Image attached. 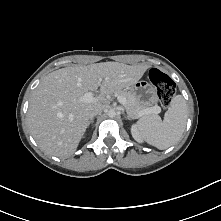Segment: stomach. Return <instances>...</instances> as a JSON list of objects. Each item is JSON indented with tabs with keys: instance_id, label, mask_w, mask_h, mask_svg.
I'll return each instance as SVG.
<instances>
[{
	"instance_id": "stomach-1",
	"label": "stomach",
	"mask_w": 221,
	"mask_h": 221,
	"mask_svg": "<svg viewBox=\"0 0 221 221\" xmlns=\"http://www.w3.org/2000/svg\"><path fill=\"white\" fill-rule=\"evenodd\" d=\"M130 92L143 106H151L155 103V89L147 81H137L130 86Z\"/></svg>"
}]
</instances>
